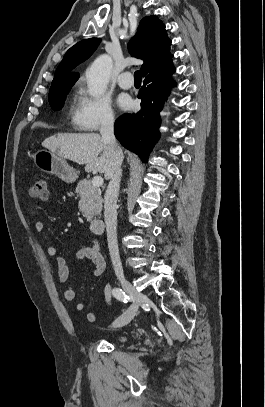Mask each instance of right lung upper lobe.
Returning <instances> with one entry per match:
<instances>
[{
    "label": "right lung upper lobe",
    "mask_w": 265,
    "mask_h": 407,
    "mask_svg": "<svg viewBox=\"0 0 265 407\" xmlns=\"http://www.w3.org/2000/svg\"><path fill=\"white\" fill-rule=\"evenodd\" d=\"M100 41V38H89L71 47L56 69L52 86L66 82L75 83L79 74L73 73L72 70L91 56ZM170 45L171 40L167 37L162 21L156 16H147L139 23L128 49L132 56L144 61L141 70L146 73L170 54Z\"/></svg>",
    "instance_id": "right-lung-upper-lobe-1"
}]
</instances>
